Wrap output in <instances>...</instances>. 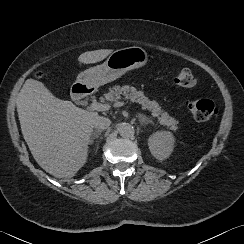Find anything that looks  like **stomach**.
<instances>
[{"mask_svg": "<svg viewBox=\"0 0 244 244\" xmlns=\"http://www.w3.org/2000/svg\"><path fill=\"white\" fill-rule=\"evenodd\" d=\"M147 62L148 55L141 47L118 49L112 52L103 64L81 72L72 87L81 84L95 89L120 78L128 71L145 66Z\"/></svg>", "mask_w": 244, "mask_h": 244, "instance_id": "stomach-1", "label": "stomach"}]
</instances>
